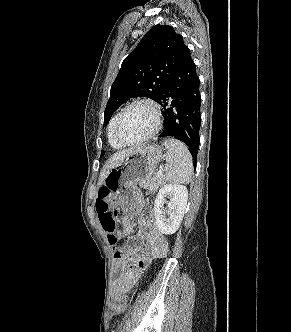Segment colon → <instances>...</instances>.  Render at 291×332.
Segmentation results:
<instances>
[{"mask_svg": "<svg viewBox=\"0 0 291 332\" xmlns=\"http://www.w3.org/2000/svg\"><path fill=\"white\" fill-rule=\"evenodd\" d=\"M96 209L98 212L99 220L102 228L107 234L109 243L115 246L119 239V232L117 230V209L114 204V199L111 192L106 187H102L99 190ZM115 257L118 256V250L115 249ZM126 300L113 302L111 305V311L114 314L122 312L126 307Z\"/></svg>", "mask_w": 291, "mask_h": 332, "instance_id": "obj_1", "label": "colon"}]
</instances>
